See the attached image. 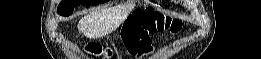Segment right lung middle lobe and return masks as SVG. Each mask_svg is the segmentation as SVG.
<instances>
[{
	"label": "right lung middle lobe",
	"instance_id": "obj_1",
	"mask_svg": "<svg viewBox=\"0 0 261 59\" xmlns=\"http://www.w3.org/2000/svg\"><path fill=\"white\" fill-rule=\"evenodd\" d=\"M106 0H62L58 6L57 13L62 16H69L72 14L74 7L77 4L94 5L105 3Z\"/></svg>",
	"mask_w": 261,
	"mask_h": 59
}]
</instances>
